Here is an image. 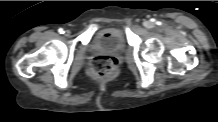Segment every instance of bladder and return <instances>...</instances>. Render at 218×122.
<instances>
[{"mask_svg": "<svg viewBox=\"0 0 218 122\" xmlns=\"http://www.w3.org/2000/svg\"><path fill=\"white\" fill-rule=\"evenodd\" d=\"M91 46L97 50L121 51L125 47V37L119 28H106L94 36Z\"/></svg>", "mask_w": 218, "mask_h": 122, "instance_id": "bladder-1", "label": "bladder"}]
</instances>
